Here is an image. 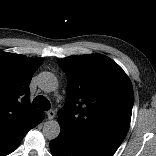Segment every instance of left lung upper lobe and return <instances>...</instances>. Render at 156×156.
I'll use <instances>...</instances> for the list:
<instances>
[{"label":"left lung upper lobe","instance_id":"obj_1","mask_svg":"<svg viewBox=\"0 0 156 156\" xmlns=\"http://www.w3.org/2000/svg\"><path fill=\"white\" fill-rule=\"evenodd\" d=\"M58 64L67 76L59 123L119 147L129 129L134 101L128 76L112 59L99 54L71 56Z\"/></svg>","mask_w":156,"mask_h":156}]
</instances>
